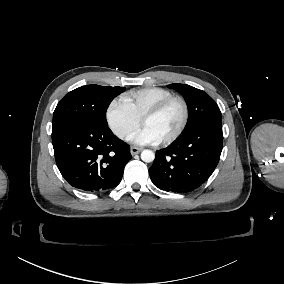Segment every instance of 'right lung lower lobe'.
I'll use <instances>...</instances> for the list:
<instances>
[{"label": "right lung lower lobe", "mask_w": 284, "mask_h": 284, "mask_svg": "<svg viewBox=\"0 0 284 284\" xmlns=\"http://www.w3.org/2000/svg\"><path fill=\"white\" fill-rule=\"evenodd\" d=\"M52 143L62 176L71 186L89 193L116 187L132 158L129 145L108 126L88 122L67 124L52 134Z\"/></svg>", "instance_id": "1"}]
</instances>
